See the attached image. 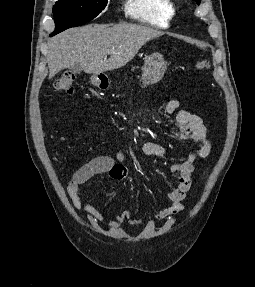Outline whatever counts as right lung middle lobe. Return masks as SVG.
<instances>
[{"instance_id":"1","label":"right lung middle lobe","mask_w":255,"mask_h":287,"mask_svg":"<svg viewBox=\"0 0 255 287\" xmlns=\"http://www.w3.org/2000/svg\"><path fill=\"white\" fill-rule=\"evenodd\" d=\"M107 5V0H59L53 7L56 35L68 28L94 19Z\"/></svg>"}]
</instances>
